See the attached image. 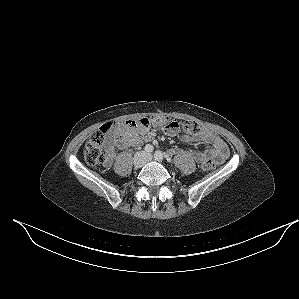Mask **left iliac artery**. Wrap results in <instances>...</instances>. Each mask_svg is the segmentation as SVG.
I'll list each match as a JSON object with an SVG mask.
<instances>
[{
  "instance_id": "44dca946",
  "label": "left iliac artery",
  "mask_w": 299,
  "mask_h": 299,
  "mask_svg": "<svg viewBox=\"0 0 299 299\" xmlns=\"http://www.w3.org/2000/svg\"><path fill=\"white\" fill-rule=\"evenodd\" d=\"M164 157L169 161L170 158H168L167 156H165L161 151H156L154 154V158L158 161H162L164 159Z\"/></svg>"
}]
</instances>
